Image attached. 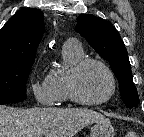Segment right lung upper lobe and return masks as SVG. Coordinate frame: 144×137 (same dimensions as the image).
Returning a JSON list of instances; mask_svg holds the SVG:
<instances>
[{
  "label": "right lung upper lobe",
  "instance_id": "obj_1",
  "mask_svg": "<svg viewBox=\"0 0 144 137\" xmlns=\"http://www.w3.org/2000/svg\"><path fill=\"white\" fill-rule=\"evenodd\" d=\"M44 33V17L35 8L22 9L0 30V63L35 59Z\"/></svg>",
  "mask_w": 144,
  "mask_h": 137
}]
</instances>
